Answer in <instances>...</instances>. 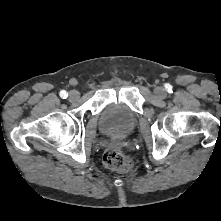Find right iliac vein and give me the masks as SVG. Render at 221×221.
<instances>
[{
	"instance_id": "right-iliac-vein-1",
	"label": "right iliac vein",
	"mask_w": 221,
	"mask_h": 221,
	"mask_svg": "<svg viewBox=\"0 0 221 221\" xmlns=\"http://www.w3.org/2000/svg\"><path fill=\"white\" fill-rule=\"evenodd\" d=\"M80 94L77 90H72L69 92V100L76 101L79 98Z\"/></svg>"
}]
</instances>
